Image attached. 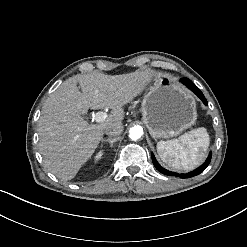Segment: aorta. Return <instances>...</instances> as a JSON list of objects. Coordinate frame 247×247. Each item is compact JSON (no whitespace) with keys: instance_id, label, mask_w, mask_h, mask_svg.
Returning <instances> with one entry per match:
<instances>
[{"instance_id":"762f6f07","label":"aorta","mask_w":247,"mask_h":247,"mask_svg":"<svg viewBox=\"0 0 247 247\" xmlns=\"http://www.w3.org/2000/svg\"><path fill=\"white\" fill-rule=\"evenodd\" d=\"M142 135L143 129L141 126H134L129 130V137L134 141L140 139Z\"/></svg>"}]
</instances>
